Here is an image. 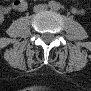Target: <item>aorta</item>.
<instances>
[{"label": "aorta", "mask_w": 91, "mask_h": 91, "mask_svg": "<svg viewBox=\"0 0 91 91\" xmlns=\"http://www.w3.org/2000/svg\"><path fill=\"white\" fill-rule=\"evenodd\" d=\"M50 7H51L52 9H54V10H58V9L60 8V4L57 3V2H52V3L50 4Z\"/></svg>", "instance_id": "obj_1"}]
</instances>
